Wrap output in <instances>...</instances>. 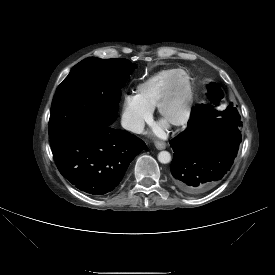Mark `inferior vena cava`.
<instances>
[{
    "label": "inferior vena cava",
    "mask_w": 275,
    "mask_h": 275,
    "mask_svg": "<svg viewBox=\"0 0 275 275\" xmlns=\"http://www.w3.org/2000/svg\"><path fill=\"white\" fill-rule=\"evenodd\" d=\"M122 127L126 130L141 134L144 130V121L136 118L123 117L121 121Z\"/></svg>",
    "instance_id": "inferior-vena-cava-1"
}]
</instances>
